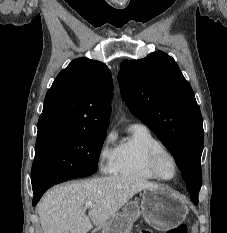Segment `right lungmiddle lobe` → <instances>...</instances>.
<instances>
[{
    "label": "right lung middle lobe",
    "mask_w": 227,
    "mask_h": 233,
    "mask_svg": "<svg viewBox=\"0 0 227 233\" xmlns=\"http://www.w3.org/2000/svg\"><path fill=\"white\" fill-rule=\"evenodd\" d=\"M105 138L106 130L53 129L38 133L32 188L54 180L92 175Z\"/></svg>",
    "instance_id": "right-lung-middle-lobe-1"
}]
</instances>
